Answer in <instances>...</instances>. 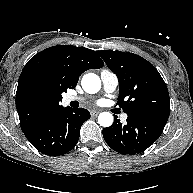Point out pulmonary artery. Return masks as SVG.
I'll list each match as a JSON object with an SVG mask.
<instances>
[{
    "instance_id": "pulmonary-artery-1",
    "label": "pulmonary artery",
    "mask_w": 193,
    "mask_h": 193,
    "mask_svg": "<svg viewBox=\"0 0 193 193\" xmlns=\"http://www.w3.org/2000/svg\"><path fill=\"white\" fill-rule=\"evenodd\" d=\"M100 78L105 92L112 93L116 90L118 86V78L115 73L109 70H103L100 73ZM73 101H83V98L77 96H66L64 99V102L66 104H69ZM127 117H128L127 114H123L121 116V119L126 120Z\"/></svg>"
}]
</instances>
